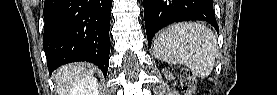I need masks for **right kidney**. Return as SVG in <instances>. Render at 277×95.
<instances>
[{
    "label": "right kidney",
    "mask_w": 277,
    "mask_h": 95,
    "mask_svg": "<svg viewBox=\"0 0 277 95\" xmlns=\"http://www.w3.org/2000/svg\"><path fill=\"white\" fill-rule=\"evenodd\" d=\"M75 95H98V83L94 77H88L82 80L77 87Z\"/></svg>",
    "instance_id": "right-kidney-1"
}]
</instances>
